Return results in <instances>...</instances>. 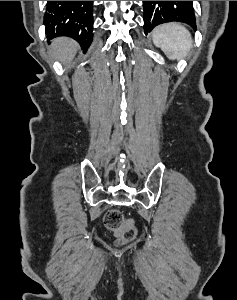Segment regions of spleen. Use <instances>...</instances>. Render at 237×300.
Listing matches in <instances>:
<instances>
[{"instance_id": "1", "label": "spleen", "mask_w": 237, "mask_h": 300, "mask_svg": "<svg viewBox=\"0 0 237 300\" xmlns=\"http://www.w3.org/2000/svg\"><path fill=\"white\" fill-rule=\"evenodd\" d=\"M152 39L155 47H159L170 61L185 59L193 47L189 31L180 23L159 25L153 31Z\"/></svg>"}]
</instances>
